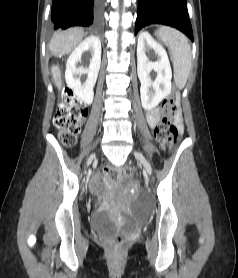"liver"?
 Wrapping results in <instances>:
<instances>
[{
	"mask_svg": "<svg viewBox=\"0 0 238 278\" xmlns=\"http://www.w3.org/2000/svg\"><path fill=\"white\" fill-rule=\"evenodd\" d=\"M85 36L83 29L72 28L55 35L50 42V50L55 57L69 54ZM51 73L56 87L60 90L62 86L61 73L57 65L51 68Z\"/></svg>",
	"mask_w": 238,
	"mask_h": 278,
	"instance_id": "obj_1",
	"label": "liver"
}]
</instances>
